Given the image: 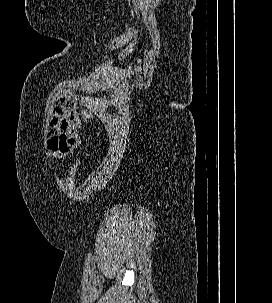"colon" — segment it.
Segmentation results:
<instances>
[{
    "label": "colon",
    "mask_w": 272,
    "mask_h": 303,
    "mask_svg": "<svg viewBox=\"0 0 272 303\" xmlns=\"http://www.w3.org/2000/svg\"><path fill=\"white\" fill-rule=\"evenodd\" d=\"M82 115H83V119L86 122H91L94 118L93 114L89 110H84L82 112ZM80 165H81V160H78L70 169V172H69V185L70 186H74V184H75V180H76Z\"/></svg>",
    "instance_id": "obj_1"
}]
</instances>
